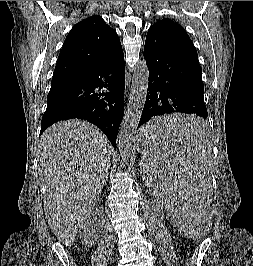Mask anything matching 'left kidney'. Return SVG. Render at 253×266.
<instances>
[{"mask_svg": "<svg viewBox=\"0 0 253 266\" xmlns=\"http://www.w3.org/2000/svg\"><path fill=\"white\" fill-rule=\"evenodd\" d=\"M173 220H174V222H175L177 225H179V224H178V219H177V218H173Z\"/></svg>", "mask_w": 253, "mask_h": 266, "instance_id": "left-kidney-1", "label": "left kidney"}]
</instances>
